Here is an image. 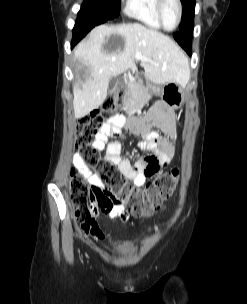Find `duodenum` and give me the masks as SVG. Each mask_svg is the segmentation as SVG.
Masks as SVG:
<instances>
[{"mask_svg": "<svg viewBox=\"0 0 247 304\" xmlns=\"http://www.w3.org/2000/svg\"><path fill=\"white\" fill-rule=\"evenodd\" d=\"M138 83H142V82H144V85L145 86H148L149 85V82L147 81V79H142V78H138L137 80H136ZM126 88H128L129 90L132 88L130 85L128 86V87H126Z\"/></svg>", "mask_w": 247, "mask_h": 304, "instance_id": "obj_1", "label": "duodenum"}]
</instances>
